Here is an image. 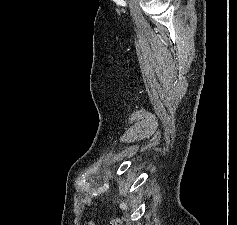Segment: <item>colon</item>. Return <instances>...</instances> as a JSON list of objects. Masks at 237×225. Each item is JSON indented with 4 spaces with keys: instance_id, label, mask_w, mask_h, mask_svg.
I'll return each instance as SVG.
<instances>
[{
    "instance_id": "1",
    "label": "colon",
    "mask_w": 237,
    "mask_h": 225,
    "mask_svg": "<svg viewBox=\"0 0 237 225\" xmlns=\"http://www.w3.org/2000/svg\"><path fill=\"white\" fill-rule=\"evenodd\" d=\"M89 225H94V224L90 223ZM110 225H127V224L123 223L120 219H115L111 222Z\"/></svg>"
}]
</instances>
